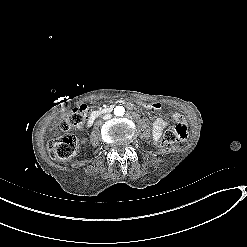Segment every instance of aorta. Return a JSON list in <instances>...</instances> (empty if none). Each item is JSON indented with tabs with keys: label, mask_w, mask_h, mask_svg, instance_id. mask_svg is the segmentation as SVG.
Returning a JSON list of instances; mask_svg holds the SVG:
<instances>
[{
	"label": "aorta",
	"mask_w": 247,
	"mask_h": 247,
	"mask_svg": "<svg viewBox=\"0 0 247 247\" xmlns=\"http://www.w3.org/2000/svg\"><path fill=\"white\" fill-rule=\"evenodd\" d=\"M114 114L116 116H123L125 114V108L123 106H116L114 109Z\"/></svg>",
	"instance_id": "obj_1"
}]
</instances>
